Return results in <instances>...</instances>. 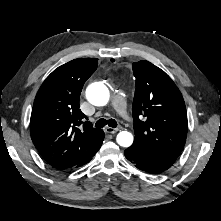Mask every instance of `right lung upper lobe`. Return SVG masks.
<instances>
[{
    "label": "right lung upper lobe",
    "mask_w": 221,
    "mask_h": 221,
    "mask_svg": "<svg viewBox=\"0 0 221 221\" xmlns=\"http://www.w3.org/2000/svg\"><path fill=\"white\" fill-rule=\"evenodd\" d=\"M98 66L96 58H78L55 69L41 85L32 109V141L48 164L70 169L91 158L104 139L102 129L79 109L85 81Z\"/></svg>",
    "instance_id": "right-lung-upper-lobe-1"
}]
</instances>
